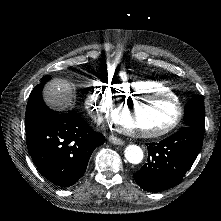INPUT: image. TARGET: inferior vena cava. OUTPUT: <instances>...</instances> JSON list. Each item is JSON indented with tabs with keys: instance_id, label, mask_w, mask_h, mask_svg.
Masks as SVG:
<instances>
[{
	"instance_id": "602c4592",
	"label": "inferior vena cava",
	"mask_w": 221,
	"mask_h": 221,
	"mask_svg": "<svg viewBox=\"0 0 221 221\" xmlns=\"http://www.w3.org/2000/svg\"><path fill=\"white\" fill-rule=\"evenodd\" d=\"M102 120L103 118L101 115L97 114L96 116H94V121L96 124L100 125L102 123Z\"/></svg>"
}]
</instances>
